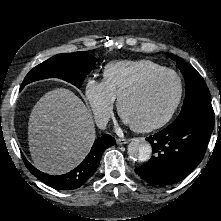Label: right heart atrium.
Masks as SVG:
<instances>
[{"label": "right heart atrium", "instance_id": "1", "mask_svg": "<svg viewBox=\"0 0 221 221\" xmlns=\"http://www.w3.org/2000/svg\"><path fill=\"white\" fill-rule=\"evenodd\" d=\"M84 96L96 121L101 125L106 124L113 114L115 98L105 83L93 78L87 79Z\"/></svg>", "mask_w": 221, "mask_h": 221}]
</instances>
